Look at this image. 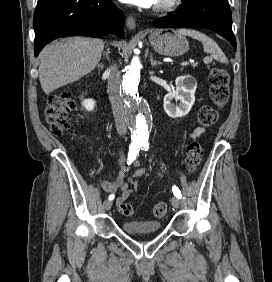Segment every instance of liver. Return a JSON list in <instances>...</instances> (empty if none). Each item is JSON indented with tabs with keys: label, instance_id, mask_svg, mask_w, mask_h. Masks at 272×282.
<instances>
[{
	"label": "liver",
	"instance_id": "6515ba94",
	"mask_svg": "<svg viewBox=\"0 0 272 282\" xmlns=\"http://www.w3.org/2000/svg\"><path fill=\"white\" fill-rule=\"evenodd\" d=\"M103 48V40L85 37H72L47 45L39 55V80L44 93L48 95L93 71Z\"/></svg>",
	"mask_w": 272,
	"mask_h": 282
}]
</instances>
